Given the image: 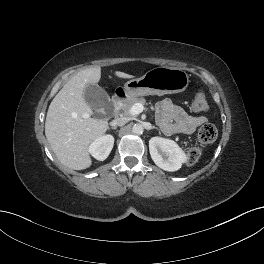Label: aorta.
Wrapping results in <instances>:
<instances>
[{
	"instance_id": "obj_1",
	"label": "aorta",
	"mask_w": 264,
	"mask_h": 264,
	"mask_svg": "<svg viewBox=\"0 0 264 264\" xmlns=\"http://www.w3.org/2000/svg\"><path fill=\"white\" fill-rule=\"evenodd\" d=\"M143 131H144V128H143V126H142L141 124H135V125L132 127V132H133L134 134L139 135V134H142Z\"/></svg>"
}]
</instances>
